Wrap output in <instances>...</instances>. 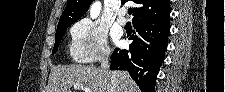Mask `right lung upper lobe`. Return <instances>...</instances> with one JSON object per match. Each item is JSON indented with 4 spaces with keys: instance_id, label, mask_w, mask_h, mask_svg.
Masks as SVG:
<instances>
[{
    "instance_id": "right-lung-upper-lobe-1",
    "label": "right lung upper lobe",
    "mask_w": 225,
    "mask_h": 92,
    "mask_svg": "<svg viewBox=\"0 0 225 92\" xmlns=\"http://www.w3.org/2000/svg\"><path fill=\"white\" fill-rule=\"evenodd\" d=\"M93 0H68L58 25L72 24L83 16ZM122 3L126 0H121ZM136 3L133 11V20L140 18L157 17L170 12L169 0H132Z\"/></svg>"
}]
</instances>
